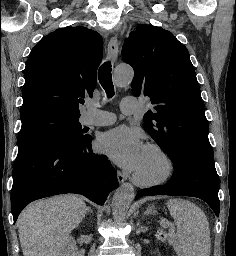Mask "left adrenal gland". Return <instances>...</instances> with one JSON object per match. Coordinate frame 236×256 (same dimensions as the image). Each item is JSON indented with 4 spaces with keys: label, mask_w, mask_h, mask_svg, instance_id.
Listing matches in <instances>:
<instances>
[{
    "label": "left adrenal gland",
    "mask_w": 236,
    "mask_h": 256,
    "mask_svg": "<svg viewBox=\"0 0 236 256\" xmlns=\"http://www.w3.org/2000/svg\"><path fill=\"white\" fill-rule=\"evenodd\" d=\"M148 214H155L154 212V206H148L146 212H145V216H148Z\"/></svg>",
    "instance_id": "a2214340"
}]
</instances>
